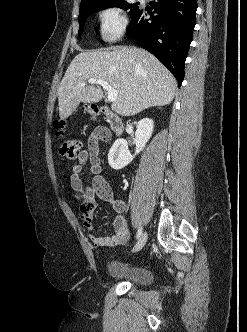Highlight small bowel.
I'll list each match as a JSON object with an SVG mask.
<instances>
[{"instance_id":"c3829d8e","label":"small bowel","mask_w":247,"mask_h":332,"mask_svg":"<svg viewBox=\"0 0 247 332\" xmlns=\"http://www.w3.org/2000/svg\"><path fill=\"white\" fill-rule=\"evenodd\" d=\"M111 138L109 130L105 127L96 128L88 139L87 149L78 153L76 162L72 165L69 177L70 187L84 202H94L96 197L108 202L115 211L116 216L112 221L114 233L110 236L98 237L93 232L90 218H84V225L88 229V238L93 247H112L123 244L128 239L127 220L124 215L126 203L114 197L112 189L107 182L101 160L99 157L100 142H108ZM90 163L88 175L90 183L82 179L84 166Z\"/></svg>"}]
</instances>
